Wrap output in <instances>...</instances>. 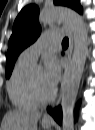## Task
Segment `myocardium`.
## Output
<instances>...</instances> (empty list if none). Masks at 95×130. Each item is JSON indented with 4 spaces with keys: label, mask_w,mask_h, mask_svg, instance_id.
<instances>
[{
    "label": "myocardium",
    "mask_w": 95,
    "mask_h": 130,
    "mask_svg": "<svg viewBox=\"0 0 95 130\" xmlns=\"http://www.w3.org/2000/svg\"><path fill=\"white\" fill-rule=\"evenodd\" d=\"M29 86H30V92L32 97L34 98V100L36 102H38L39 104H46L51 102L55 96H56V90L53 89V91L48 95V96H42L34 82L33 76L30 75L29 78Z\"/></svg>",
    "instance_id": "myocardium-1"
}]
</instances>
